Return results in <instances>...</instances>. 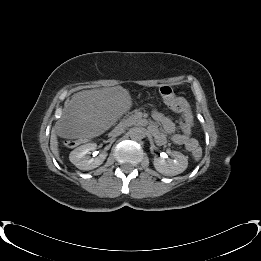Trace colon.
<instances>
[{"label":"colon","mask_w":261,"mask_h":261,"mask_svg":"<svg viewBox=\"0 0 261 261\" xmlns=\"http://www.w3.org/2000/svg\"><path fill=\"white\" fill-rule=\"evenodd\" d=\"M168 102L173 104V108L176 109L177 111L183 113V116L185 117L186 121H188V114L186 112V105L184 103L177 104L174 102V99L172 96L168 97ZM69 144V142L67 143ZM187 149L191 152V154L194 157H198L201 154V149L199 145L197 144L196 141L190 140L189 142L186 143Z\"/></svg>","instance_id":"1"}]
</instances>
